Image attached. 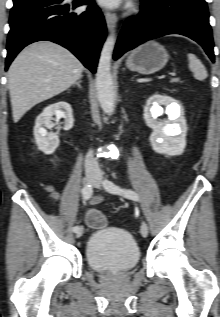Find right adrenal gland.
<instances>
[{
    "label": "right adrenal gland",
    "instance_id": "1",
    "mask_svg": "<svg viewBox=\"0 0 220 317\" xmlns=\"http://www.w3.org/2000/svg\"><path fill=\"white\" fill-rule=\"evenodd\" d=\"M82 77H83V75L80 76V78L78 79V81H76L73 86L77 85L79 88H81V84H80V83H81Z\"/></svg>",
    "mask_w": 220,
    "mask_h": 317
}]
</instances>
